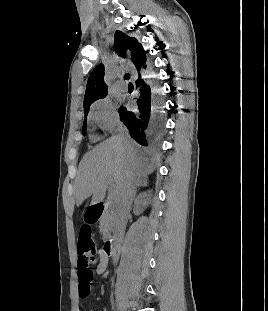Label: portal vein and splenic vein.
Here are the masks:
<instances>
[{"label":"portal vein and splenic vein","instance_id":"18ae733b","mask_svg":"<svg viewBox=\"0 0 268 311\" xmlns=\"http://www.w3.org/2000/svg\"><path fill=\"white\" fill-rule=\"evenodd\" d=\"M109 184L111 186V190H110V198H112L114 196V193H115V186L113 184V181L112 180H109Z\"/></svg>","mask_w":268,"mask_h":311}]
</instances>
